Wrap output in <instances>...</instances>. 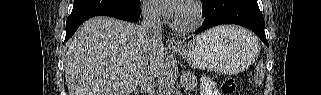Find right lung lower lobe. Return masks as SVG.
<instances>
[{
    "instance_id": "right-lung-lower-lobe-1",
    "label": "right lung lower lobe",
    "mask_w": 321,
    "mask_h": 95,
    "mask_svg": "<svg viewBox=\"0 0 321 95\" xmlns=\"http://www.w3.org/2000/svg\"><path fill=\"white\" fill-rule=\"evenodd\" d=\"M140 8L130 12V13H119L115 11H84V12H77V13H71V15L68 17L66 22V36L65 41H67L77 30V28L87 19L94 17V16H110L115 17L118 19L126 20L129 22H134L139 19L140 17Z\"/></svg>"
}]
</instances>
